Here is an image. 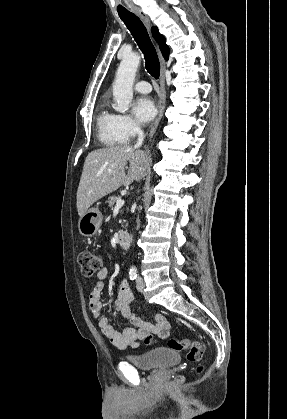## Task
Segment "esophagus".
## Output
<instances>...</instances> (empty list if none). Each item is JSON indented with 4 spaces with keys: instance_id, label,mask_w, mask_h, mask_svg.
<instances>
[{
    "instance_id": "34e87169",
    "label": "esophagus",
    "mask_w": 287,
    "mask_h": 419,
    "mask_svg": "<svg viewBox=\"0 0 287 419\" xmlns=\"http://www.w3.org/2000/svg\"><path fill=\"white\" fill-rule=\"evenodd\" d=\"M137 16L141 19V21L144 23V25L146 26V28L148 30H150L151 28V22L149 17L142 11H137L136 12ZM159 58H160V64H161V72H160V79H159V86H160V90H159V100H158V115L155 118L154 122L152 123L151 127H150V131H149V138H152V136L154 135L157 126L160 122V120L163 117V113H164V97H165V67H166V63L164 58L162 57L161 53L159 52Z\"/></svg>"
}]
</instances>
